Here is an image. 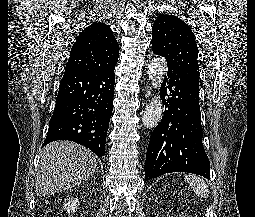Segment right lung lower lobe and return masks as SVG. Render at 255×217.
I'll return each instance as SVG.
<instances>
[{
	"mask_svg": "<svg viewBox=\"0 0 255 217\" xmlns=\"http://www.w3.org/2000/svg\"><path fill=\"white\" fill-rule=\"evenodd\" d=\"M114 68L64 72L44 145L70 140L86 146L98 157L105 155L113 107Z\"/></svg>",
	"mask_w": 255,
	"mask_h": 217,
	"instance_id": "obj_1",
	"label": "right lung lower lobe"
}]
</instances>
